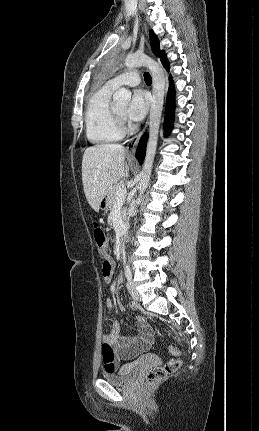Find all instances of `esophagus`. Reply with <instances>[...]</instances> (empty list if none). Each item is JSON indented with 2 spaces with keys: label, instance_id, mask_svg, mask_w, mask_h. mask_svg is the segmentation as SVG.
I'll return each mask as SVG.
<instances>
[{
  "label": "esophagus",
  "instance_id": "1",
  "mask_svg": "<svg viewBox=\"0 0 259 431\" xmlns=\"http://www.w3.org/2000/svg\"><path fill=\"white\" fill-rule=\"evenodd\" d=\"M143 29H144V32L147 36V34H148L147 25L145 23H143ZM147 125H148V121L146 122L144 129L129 140V142L126 146V151H127V154L129 157H131V158L135 157L136 147H137L141 137L143 136V134L147 128Z\"/></svg>",
  "mask_w": 259,
  "mask_h": 431
}]
</instances>
